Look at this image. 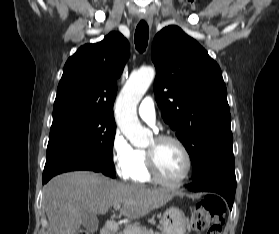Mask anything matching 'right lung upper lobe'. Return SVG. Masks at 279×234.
<instances>
[{
  "label": "right lung upper lobe",
  "instance_id": "cb5924a9",
  "mask_svg": "<svg viewBox=\"0 0 279 234\" xmlns=\"http://www.w3.org/2000/svg\"><path fill=\"white\" fill-rule=\"evenodd\" d=\"M129 58V43L119 32L85 44L63 69L53 113L78 110L113 117L117 80Z\"/></svg>",
  "mask_w": 279,
  "mask_h": 234
}]
</instances>
